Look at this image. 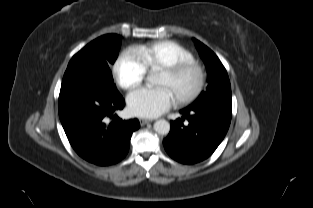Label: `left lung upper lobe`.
<instances>
[{
	"label": "left lung upper lobe",
	"instance_id": "left-lung-upper-lobe-1",
	"mask_svg": "<svg viewBox=\"0 0 313 208\" xmlns=\"http://www.w3.org/2000/svg\"><path fill=\"white\" fill-rule=\"evenodd\" d=\"M194 42L207 68L208 86L192 105L208 101L231 102V86L226 69L213 51L196 39Z\"/></svg>",
	"mask_w": 313,
	"mask_h": 208
}]
</instances>
